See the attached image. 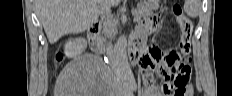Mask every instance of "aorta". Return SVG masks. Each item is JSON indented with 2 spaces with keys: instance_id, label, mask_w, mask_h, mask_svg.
<instances>
[{
  "instance_id": "obj_1",
  "label": "aorta",
  "mask_w": 232,
  "mask_h": 96,
  "mask_svg": "<svg viewBox=\"0 0 232 96\" xmlns=\"http://www.w3.org/2000/svg\"><path fill=\"white\" fill-rule=\"evenodd\" d=\"M114 61L123 76H130L131 69L127 58V39L121 36L114 47Z\"/></svg>"
}]
</instances>
